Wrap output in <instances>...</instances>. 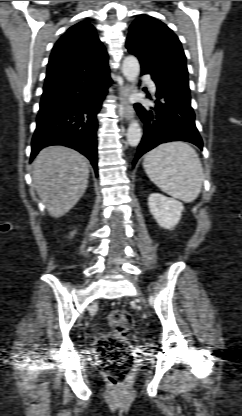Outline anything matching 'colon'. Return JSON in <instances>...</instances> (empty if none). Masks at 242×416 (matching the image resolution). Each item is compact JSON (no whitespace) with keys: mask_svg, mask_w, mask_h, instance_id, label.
I'll return each mask as SVG.
<instances>
[{"mask_svg":"<svg viewBox=\"0 0 242 416\" xmlns=\"http://www.w3.org/2000/svg\"><path fill=\"white\" fill-rule=\"evenodd\" d=\"M111 331L96 341L102 367L112 384L126 380L135 363L132 348L127 335L134 322L131 315L123 309L112 310L107 317Z\"/></svg>","mask_w":242,"mask_h":416,"instance_id":"obj_1","label":"colon"}]
</instances>
